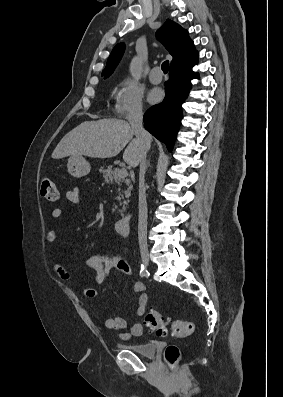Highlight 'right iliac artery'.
<instances>
[{
	"label": "right iliac artery",
	"mask_w": 283,
	"mask_h": 397,
	"mask_svg": "<svg viewBox=\"0 0 283 397\" xmlns=\"http://www.w3.org/2000/svg\"><path fill=\"white\" fill-rule=\"evenodd\" d=\"M146 275H147V270H146L145 266L143 264H141V266H140V276L144 277Z\"/></svg>",
	"instance_id": "right-iliac-artery-1"
}]
</instances>
